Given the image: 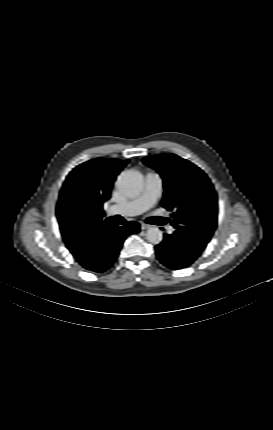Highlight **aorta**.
I'll use <instances>...</instances> for the list:
<instances>
[{"label": "aorta", "instance_id": "aorta-1", "mask_svg": "<svg viewBox=\"0 0 273 430\" xmlns=\"http://www.w3.org/2000/svg\"><path fill=\"white\" fill-rule=\"evenodd\" d=\"M117 187L128 196L137 195L143 187V175L137 170H125L117 179ZM146 239L152 244H159L162 239V231L157 227H151L146 233Z\"/></svg>", "mask_w": 273, "mask_h": 430}]
</instances>
